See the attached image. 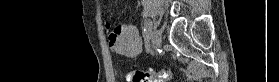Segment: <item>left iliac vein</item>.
I'll return each mask as SVG.
<instances>
[{
  "label": "left iliac vein",
  "instance_id": "obj_1",
  "mask_svg": "<svg viewBox=\"0 0 279 82\" xmlns=\"http://www.w3.org/2000/svg\"><path fill=\"white\" fill-rule=\"evenodd\" d=\"M152 43L154 46H156L158 48L161 47V45H162V36H161V33L157 30L153 31Z\"/></svg>",
  "mask_w": 279,
  "mask_h": 82
}]
</instances>
